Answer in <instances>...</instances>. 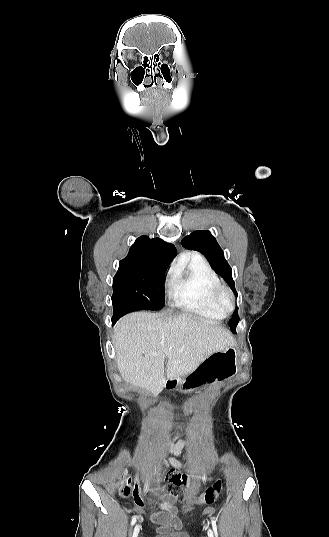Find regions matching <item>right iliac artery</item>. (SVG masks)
Instances as JSON below:
<instances>
[{
	"mask_svg": "<svg viewBox=\"0 0 329 537\" xmlns=\"http://www.w3.org/2000/svg\"><path fill=\"white\" fill-rule=\"evenodd\" d=\"M137 520V516H134L131 521V525L133 526Z\"/></svg>",
	"mask_w": 329,
	"mask_h": 537,
	"instance_id": "1",
	"label": "right iliac artery"
}]
</instances>
